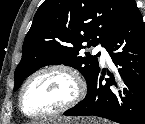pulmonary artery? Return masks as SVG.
Returning <instances> with one entry per match:
<instances>
[{"instance_id": "e3ab8cb5", "label": "pulmonary artery", "mask_w": 145, "mask_h": 124, "mask_svg": "<svg viewBox=\"0 0 145 124\" xmlns=\"http://www.w3.org/2000/svg\"><path fill=\"white\" fill-rule=\"evenodd\" d=\"M94 51L101 53L102 61L109 60V55H108L107 51L103 47L97 46Z\"/></svg>"}]
</instances>
